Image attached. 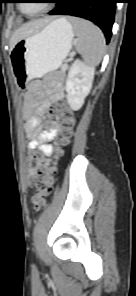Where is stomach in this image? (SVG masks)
<instances>
[{
	"mask_svg": "<svg viewBox=\"0 0 136 296\" xmlns=\"http://www.w3.org/2000/svg\"><path fill=\"white\" fill-rule=\"evenodd\" d=\"M73 36L72 25L58 18L19 40L10 53L18 90H28L25 83L57 70L72 47Z\"/></svg>",
	"mask_w": 136,
	"mask_h": 296,
	"instance_id": "obj_1",
	"label": "stomach"
}]
</instances>
